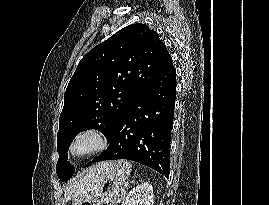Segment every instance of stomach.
I'll use <instances>...</instances> for the list:
<instances>
[{"label": "stomach", "mask_w": 269, "mask_h": 205, "mask_svg": "<svg viewBox=\"0 0 269 205\" xmlns=\"http://www.w3.org/2000/svg\"><path fill=\"white\" fill-rule=\"evenodd\" d=\"M130 172L129 162H111L96 179L94 187L85 195L74 199L71 205H117Z\"/></svg>", "instance_id": "0dacf381"}]
</instances>
